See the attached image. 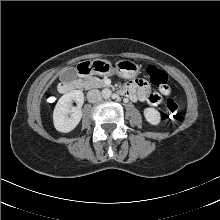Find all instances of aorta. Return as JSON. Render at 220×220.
<instances>
[{
  "instance_id": "762f6f07",
  "label": "aorta",
  "mask_w": 220,
  "mask_h": 220,
  "mask_svg": "<svg viewBox=\"0 0 220 220\" xmlns=\"http://www.w3.org/2000/svg\"><path fill=\"white\" fill-rule=\"evenodd\" d=\"M112 91L108 88L102 90V96L104 99H109L111 97Z\"/></svg>"
}]
</instances>
